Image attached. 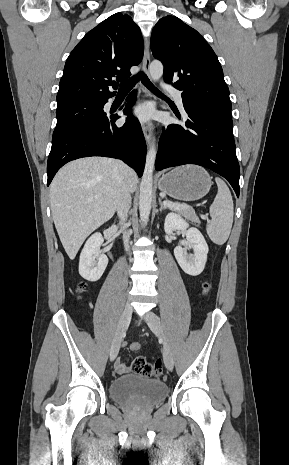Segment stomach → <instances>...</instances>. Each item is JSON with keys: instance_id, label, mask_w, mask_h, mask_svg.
Listing matches in <instances>:
<instances>
[{"instance_id": "obj_1", "label": "stomach", "mask_w": 289, "mask_h": 465, "mask_svg": "<svg viewBox=\"0 0 289 465\" xmlns=\"http://www.w3.org/2000/svg\"><path fill=\"white\" fill-rule=\"evenodd\" d=\"M212 185L208 172L196 165H183L162 174L159 189L174 199L195 201L204 197Z\"/></svg>"}]
</instances>
